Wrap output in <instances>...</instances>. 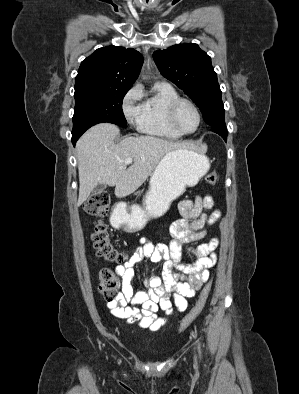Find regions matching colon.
<instances>
[{
  "instance_id": "obj_1",
  "label": "colon",
  "mask_w": 299,
  "mask_h": 394,
  "mask_svg": "<svg viewBox=\"0 0 299 394\" xmlns=\"http://www.w3.org/2000/svg\"><path fill=\"white\" fill-rule=\"evenodd\" d=\"M205 179L209 185H215L218 175L216 172L211 171L206 175ZM110 204V196L106 191H95L84 203L83 209L89 215L103 218L109 213ZM92 240L96 255L104 261L109 263H121L125 261L124 254L112 244L108 227L104 221L99 220L94 224ZM211 286L212 283L210 280L205 283L198 301L183 318L180 331L186 330L203 311L211 291ZM119 287L120 281L110 269L104 268L100 271L99 290L106 299H114L117 296Z\"/></svg>"
}]
</instances>
